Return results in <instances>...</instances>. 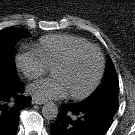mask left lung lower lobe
I'll list each match as a JSON object with an SVG mask.
<instances>
[{"label":"left lung lower lobe","mask_w":135,"mask_h":135,"mask_svg":"<svg viewBox=\"0 0 135 135\" xmlns=\"http://www.w3.org/2000/svg\"><path fill=\"white\" fill-rule=\"evenodd\" d=\"M117 108L115 95L63 104L57 120L50 125L51 135H104Z\"/></svg>","instance_id":"1"}]
</instances>
